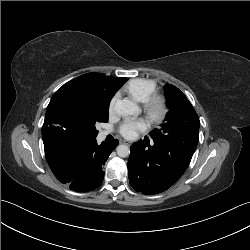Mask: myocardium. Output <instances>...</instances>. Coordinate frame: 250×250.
Returning <instances> with one entry per match:
<instances>
[{"label":"myocardium","mask_w":250,"mask_h":250,"mask_svg":"<svg viewBox=\"0 0 250 250\" xmlns=\"http://www.w3.org/2000/svg\"><path fill=\"white\" fill-rule=\"evenodd\" d=\"M144 108L151 120L160 122L167 115L168 103L163 95L154 93L144 102Z\"/></svg>","instance_id":"f54148a6"}]
</instances>
